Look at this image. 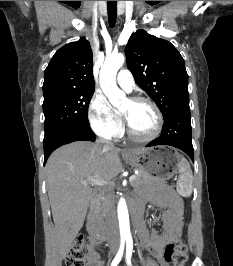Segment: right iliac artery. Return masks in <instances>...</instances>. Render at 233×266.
<instances>
[{
	"instance_id": "right-iliac-artery-1",
	"label": "right iliac artery",
	"mask_w": 233,
	"mask_h": 266,
	"mask_svg": "<svg viewBox=\"0 0 233 266\" xmlns=\"http://www.w3.org/2000/svg\"><path fill=\"white\" fill-rule=\"evenodd\" d=\"M124 243H125V240L121 239L120 248H119L118 253L116 254L115 258L113 259L111 266H117L119 264V262L121 261L122 256H123V252H124Z\"/></svg>"
}]
</instances>
